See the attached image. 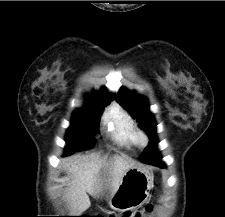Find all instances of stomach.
Listing matches in <instances>:
<instances>
[{
  "label": "stomach",
  "instance_id": "stomach-1",
  "mask_svg": "<svg viewBox=\"0 0 225 217\" xmlns=\"http://www.w3.org/2000/svg\"><path fill=\"white\" fill-rule=\"evenodd\" d=\"M149 180L148 172L144 168L133 166L125 172L119 188L130 189L138 186H148Z\"/></svg>",
  "mask_w": 225,
  "mask_h": 217
}]
</instances>
